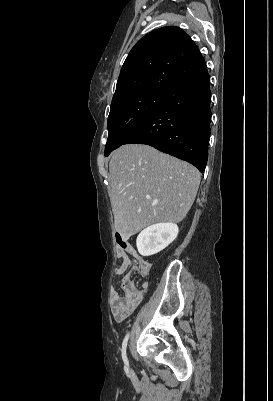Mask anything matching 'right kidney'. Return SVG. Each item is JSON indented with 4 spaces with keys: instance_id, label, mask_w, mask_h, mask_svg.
<instances>
[{
    "instance_id": "ca27d5eb",
    "label": "right kidney",
    "mask_w": 273,
    "mask_h": 401,
    "mask_svg": "<svg viewBox=\"0 0 273 401\" xmlns=\"http://www.w3.org/2000/svg\"><path fill=\"white\" fill-rule=\"evenodd\" d=\"M179 233L174 223H157L141 231L136 239L137 249L142 257H150L168 247Z\"/></svg>"
}]
</instances>
